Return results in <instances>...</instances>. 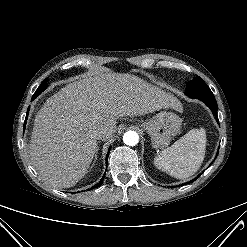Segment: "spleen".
Instances as JSON below:
<instances>
[{"label":"spleen","mask_w":247,"mask_h":247,"mask_svg":"<svg viewBox=\"0 0 247 247\" xmlns=\"http://www.w3.org/2000/svg\"><path fill=\"white\" fill-rule=\"evenodd\" d=\"M206 150V131L192 129L154 158L159 170L178 179L193 175L201 166Z\"/></svg>","instance_id":"obj_1"}]
</instances>
